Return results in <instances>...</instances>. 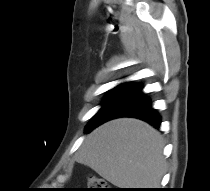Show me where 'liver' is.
I'll list each match as a JSON object with an SVG mask.
<instances>
[{"mask_svg": "<svg viewBox=\"0 0 210 191\" xmlns=\"http://www.w3.org/2000/svg\"><path fill=\"white\" fill-rule=\"evenodd\" d=\"M162 136L149 124L120 118L87 136L76 160L119 188H158L165 172Z\"/></svg>", "mask_w": 210, "mask_h": 191, "instance_id": "6515ba94", "label": "liver"}]
</instances>
